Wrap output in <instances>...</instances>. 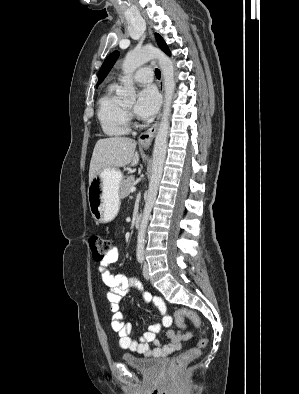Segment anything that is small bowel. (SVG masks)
Returning <instances> with one entry per match:
<instances>
[{
	"label": "small bowel",
	"mask_w": 299,
	"mask_h": 394,
	"mask_svg": "<svg viewBox=\"0 0 299 394\" xmlns=\"http://www.w3.org/2000/svg\"><path fill=\"white\" fill-rule=\"evenodd\" d=\"M118 257L119 248L116 244H113L106 257L99 262L97 271L103 283L108 288L107 299L110 303L111 311L114 313L112 318V328L120 338V346L145 357H160L173 351L180 350L182 343L191 338V333L184 332L182 329H168L166 334L170 339V342L162 345L156 339V333H158L162 327L171 326L172 317L167 312L164 300L160 296L152 295L149 292H144L142 294V298L144 301L153 304L157 308L162 316V323L149 325L146 332L139 338V340H133L130 337L132 325L124 321V315L119 311L118 303L130 292L132 288L139 289V283L133 277L115 275L109 271L108 266L115 263L118 260ZM177 325L182 328L184 323L177 322ZM149 343H153L154 347L150 348Z\"/></svg>",
	"instance_id": "obj_1"
}]
</instances>
